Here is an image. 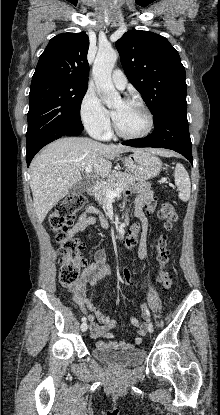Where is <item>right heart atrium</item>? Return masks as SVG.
Listing matches in <instances>:
<instances>
[{
	"instance_id": "1",
	"label": "right heart atrium",
	"mask_w": 220,
	"mask_h": 415,
	"mask_svg": "<svg viewBox=\"0 0 220 415\" xmlns=\"http://www.w3.org/2000/svg\"><path fill=\"white\" fill-rule=\"evenodd\" d=\"M80 119L89 134L102 139L109 136L111 122L97 94L87 89L80 103Z\"/></svg>"
}]
</instances>
